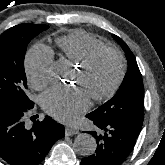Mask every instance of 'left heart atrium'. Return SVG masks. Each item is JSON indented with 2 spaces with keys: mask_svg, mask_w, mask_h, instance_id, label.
Here are the masks:
<instances>
[{
  "mask_svg": "<svg viewBox=\"0 0 165 165\" xmlns=\"http://www.w3.org/2000/svg\"><path fill=\"white\" fill-rule=\"evenodd\" d=\"M89 103V95L80 87L52 88L41 98L43 109L62 122L74 121L88 109Z\"/></svg>",
  "mask_w": 165,
  "mask_h": 165,
  "instance_id": "1",
  "label": "left heart atrium"
}]
</instances>
